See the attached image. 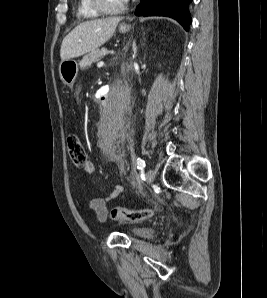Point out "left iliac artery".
I'll use <instances>...</instances> for the list:
<instances>
[{
    "instance_id": "obj_1",
    "label": "left iliac artery",
    "mask_w": 267,
    "mask_h": 298,
    "mask_svg": "<svg viewBox=\"0 0 267 298\" xmlns=\"http://www.w3.org/2000/svg\"><path fill=\"white\" fill-rule=\"evenodd\" d=\"M136 164L138 170H143L145 168V161L142 158H137Z\"/></svg>"
}]
</instances>
